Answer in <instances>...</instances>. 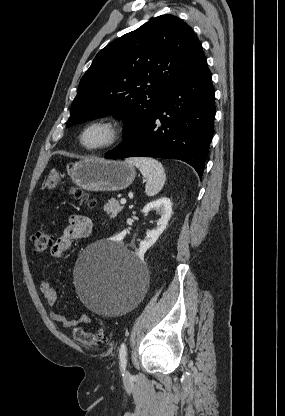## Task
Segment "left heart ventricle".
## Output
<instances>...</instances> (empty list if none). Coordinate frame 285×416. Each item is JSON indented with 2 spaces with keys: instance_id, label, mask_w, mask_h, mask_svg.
Instances as JSON below:
<instances>
[{
  "instance_id": "1",
  "label": "left heart ventricle",
  "mask_w": 285,
  "mask_h": 416,
  "mask_svg": "<svg viewBox=\"0 0 285 416\" xmlns=\"http://www.w3.org/2000/svg\"><path fill=\"white\" fill-rule=\"evenodd\" d=\"M106 132L102 128H93L89 130L84 137V144L88 147H97L106 141Z\"/></svg>"
}]
</instances>
